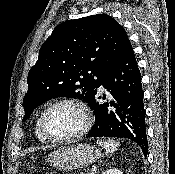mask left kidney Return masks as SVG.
I'll list each match as a JSON object with an SVG mask.
<instances>
[{"label": "left kidney", "instance_id": "left-kidney-1", "mask_svg": "<svg viewBox=\"0 0 175 174\" xmlns=\"http://www.w3.org/2000/svg\"><path fill=\"white\" fill-rule=\"evenodd\" d=\"M103 174H123V173L118 168H110L107 171H105Z\"/></svg>", "mask_w": 175, "mask_h": 174}]
</instances>
